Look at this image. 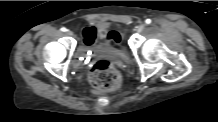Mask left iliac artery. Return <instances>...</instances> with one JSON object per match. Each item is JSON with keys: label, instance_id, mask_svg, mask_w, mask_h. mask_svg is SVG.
<instances>
[{"label": "left iliac artery", "instance_id": "obj_1", "mask_svg": "<svg viewBox=\"0 0 218 122\" xmlns=\"http://www.w3.org/2000/svg\"><path fill=\"white\" fill-rule=\"evenodd\" d=\"M145 23L146 24H150L151 23V19H146Z\"/></svg>", "mask_w": 218, "mask_h": 122}]
</instances>
